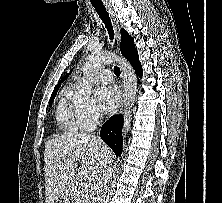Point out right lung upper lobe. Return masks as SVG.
I'll return each instance as SVG.
<instances>
[{"label":"right lung upper lobe","mask_w":222,"mask_h":203,"mask_svg":"<svg viewBox=\"0 0 222 203\" xmlns=\"http://www.w3.org/2000/svg\"><path fill=\"white\" fill-rule=\"evenodd\" d=\"M68 76H69V74H67L66 76H64V77L61 79V81L57 84V86L55 87V89H54L53 92L58 91V89H59V87H60V85H61V82L65 81V80L68 78Z\"/></svg>","instance_id":"right-lung-upper-lobe-1"}]
</instances>
